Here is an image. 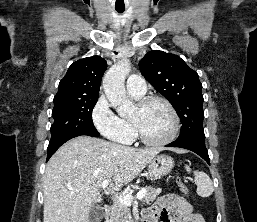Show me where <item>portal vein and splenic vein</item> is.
I'll return each instance as SVG.
<instances>
[{
  "mask_svg": "<svg viewBox=\"0 0 257 222\" xmlns=\"http://www.w3.org/2000/svg\"><path fill=\"white\" fill-rule=\"evenodd\" d=\"M109 183H110V180H104L101 184V188L106 189L108 187ZM145 194H146L145 189H141L137 193L136 198L143 199ZM115 199L124 205H131L134 198L131 194H126V195H118L117 194V195H115Z\"/></svg>",
  "mask_w": 257,
  "mask_h": 222,
  "instance_id": "18ae733b",
  "label": "portal vein and splenic vein"
}]
</instances>
